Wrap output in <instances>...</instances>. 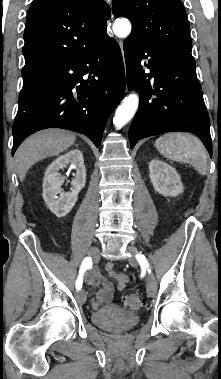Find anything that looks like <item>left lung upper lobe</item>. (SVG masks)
<instances>
[{
    "instance_id": "left-lung-upper-lobe-1",
    "label": "left lung upper lobe",
    "mask_w": 221,
    "mask_h": 379,
    "mask_svg": "<svg viewBox=\"0 0 221 379\" xmlns=\"http://www.w3.org/2000/svg\"><path fill=\"white\" fill-rule=\"evenodd\" d=\"M112 12L131 21V34L170 56L195 62L190 27L180 0H113Z\"/></svg>"
}]
</instances>
